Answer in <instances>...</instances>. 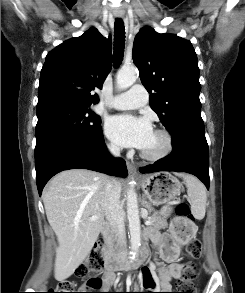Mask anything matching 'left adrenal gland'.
I'll use <instances>...</instances> for the list:
<instances>
[{"label":"left adrenal gland","instance_id":"a2214340","mask_svg":"<svg viewBox=\"0 0 245 293\" xmlns=\"http://www.w3.org/2000/svg\"><path fill=\"white\" fill-rule=\"evenodd\" d=\"M144 206H145V207H148V204H147V202L145 201V199H144Z\"/></svg>","mask_w":245,"mask_h":293}]
</instances>
